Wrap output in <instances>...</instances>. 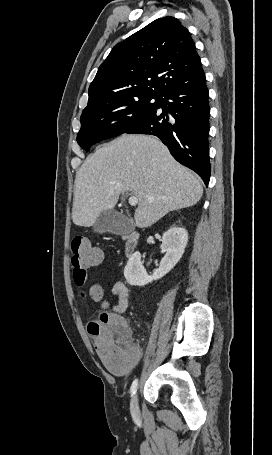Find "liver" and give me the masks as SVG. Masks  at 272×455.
I'll list each match as a JSON object with an SVG mask.
<instances>
[{
    "label": "liver",
    "instance_id": "liver-1",
    "mask_svg": "<svg viewBox=\"0 0 272 455\" xmlns=\"http://www.w3.org/2000/svg\"><path fill=\"white\" fill-rule=\"evenodd\" d=\"M128 191L138 198L134 214L138 228L195 205L203 195L199 179L156 137L124 134L98 148L77 171L74 224L94 225L101 213L113 209L120 194Z\"/></svg>",
    "mask_w": 272,
    "mask_h": 455
}]
</instances>
